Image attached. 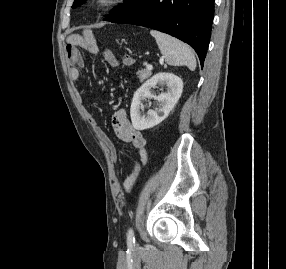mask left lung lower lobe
<instances>
[{
  "label": "left lung lower lobe",
  "mask_w": 286,
  "mask_h": 269,
  "mask_svg": "<svg viewBox=\"0 0 286 269\" xmlns=\"http://www.w3.org/2000/svg\"><path fill=\"white\" fill-rule=\"evenodd\" d=\"M213 15L214 0H147L141 9L116 23L140 25L172 35L192 46L203 66Z\"/></svg>",
  "instance_id": "1"
}]
</instances>
